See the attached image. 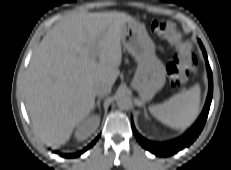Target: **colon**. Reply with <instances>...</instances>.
<instances>
[{
	"mask_svg": "<svg viewBox=\"0 0 231 170\" xmlns=\"http://www.w3.org/2000/svg\"><path fill=\"white\" fill-rule=\"evenodd\" d=\"M150 28L154 32L167 38L170 42L175 44L180 50V61L170 74L172 84H176L185 77L186 67L191 62L192 56L190 52V46L187 42L183 40L182 35L175 28V26L169 22L152 21L150 23Z\"/></svg>",
	"mask_w": 231,
	"mask_h": 170,
	"instance_id": "colon-1",
	"label": "colon"
}]
</instances>
